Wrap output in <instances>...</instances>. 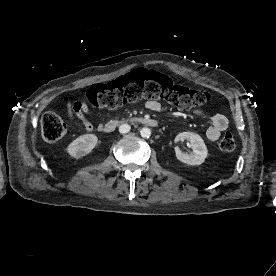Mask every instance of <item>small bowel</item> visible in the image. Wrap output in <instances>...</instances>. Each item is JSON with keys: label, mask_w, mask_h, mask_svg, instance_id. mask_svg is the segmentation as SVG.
<instances>
[{"label": "small bowel", "mask_w": 276, "mask_h": 276, "mask_svg": "<svg viewBox=\"0 0 276 276\" xmlns=\"http://www.w3.org/2000/svg\"><path fill=\"white\" fill-rule=\"evenodd\" d=\"M66 109L69 119L74 125L80 129L91 132L95 129L93 123L89 121L90 108L84 100H65ZM146 107L151 111H159L161 104L158 101L151 100L146 103ZM194 114L197 116H204L203 110H195ZM229 126L228 118L223 114H215L212 117L211 126L206 131V136L210 141H216L221 133Z\"/></svg>", "instance_id": "1"}]
</instances>
